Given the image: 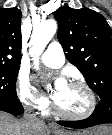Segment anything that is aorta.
<instances>
[{
  "label": "aorta",
  "mask_w": 112,
  "mask_h": 135,
  "mask_svg": "<svg viewBox=\"0 0 112 135\" xmlns=\"http://www.w3.org/2000/svg\"><path fill=\"white\" fill-rule=\"evenodd\" d=\"M57 30V23L55 20L50 19L42 22L37 27L33 28V32L30 40V50L29 53L35 59V68L38 69L39 56L44 51L45 47L52 39Z\"/></svg>",
  "instance_id": "1"
}]
</instances>
